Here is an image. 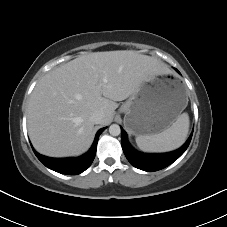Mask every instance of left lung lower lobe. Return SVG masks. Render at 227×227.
I'll return each instance as SVG.
<instances>
[{"instance_id": "0a47b994", "label": "left lung lower lobe", "mask_w": 227, "mask_h": 227, "mask_svg": "<svg viewBox=\"0 0 227 227\" xmlns=\"http://www.w3.org/2000/svg\"><path fill=\"white\" fill-rule=\"evenodd\" d=\"M192 134L193 132L181 148L162 154H146L138 152L129 144L126 132L123 129H121V144L126 158L134 167L152 172L161 170L176 161L188 148Z\"/></svg>"}]
</instances>
